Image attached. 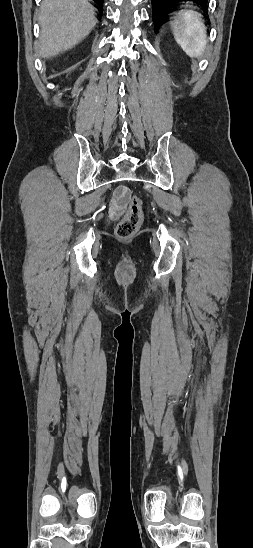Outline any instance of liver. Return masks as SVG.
<instances>
[{"label": "liver", "instance_id": "6515ba94", "mask_svg": "<svg viewBox=\"0 0 253 548\" xmlns=\"http://www.w3.org/2000/svg\"><path fill=\"white\" fill-rule=\"evenodd\" d=\"M38 22L41 28L39 56L51 58L72 49L97 23L87 0H43Z\"/></svg>", "mask_w": 253, "mask_h": 548}]
</instances>
